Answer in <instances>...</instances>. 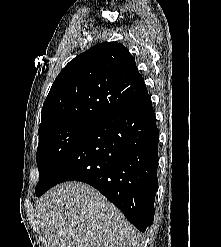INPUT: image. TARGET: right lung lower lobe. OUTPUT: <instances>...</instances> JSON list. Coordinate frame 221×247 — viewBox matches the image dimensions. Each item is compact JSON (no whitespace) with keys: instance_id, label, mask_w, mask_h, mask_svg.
I'll return each instance as SVG.
<instances>
[{"instance_id":"obj_1","label":"right lung lower lobe","mask_w":221,"mask_h":247,"mask_svg":"<svg viewBox=\"0 0 221 247\" xmlns=\"http://www.w3.org/2000/svg\"><path fill=\"white\" fill-rule=\"evenodd\" d=\"M158 142L156 117L147 93L96 124L36 195L65 181L85 182L144 232L154 220Z\"/></svg>"}]
</instances>
